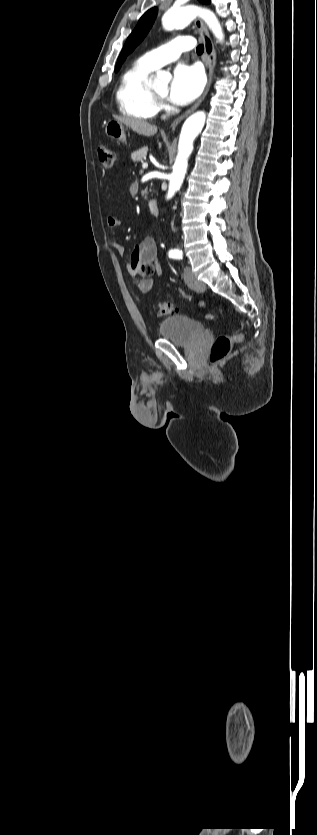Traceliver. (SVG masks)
Wrapping results in <instances>:
<instances>
[{
    "mask_svg": "<svg viewBox=\"0 0 317 835\" xmlns=\"http://www.w3.org/2000/svg\"><path fill=\"white\" fill-rule=\"evenodd\" d=\"M117 121L129 126L135 133L143 136H153L157 133V126L144 120L117 117Z\"/></svg>",
    "mask_w": 317,
    "mask_h": 835,
    "instance_id": "obj_1",
    "label": "liver"
}]
</instances>
